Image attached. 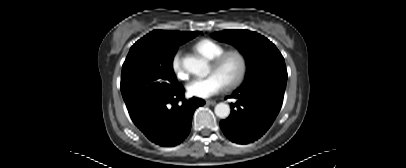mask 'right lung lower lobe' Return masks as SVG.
<instances>
[{"label":"right lung lower lobe","mask_w":406,"mask_h":168,"mask_svg":"<svg viewBox=\"0 0 406 168\" xmlns=\"http://www.w3.org/2000/svg\"><path fill=\"white\" fill-rule=\"evenodd\" d=\"M184 88L180 85L171 93L161 97L131 116L135 125L152 142L165 147L181 143L189 134L195 109L205 104L199 98L184 99ZM182 105L178 106V101Z\"/></svg>","instance_id":"obj_1"}]
</instances>
